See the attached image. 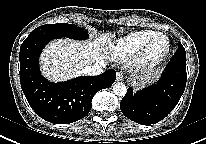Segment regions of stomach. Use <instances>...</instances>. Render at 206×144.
<instances>
[{
  "mask_svg": "<svg viewBox=\"0 0 206 144\" xmlns=\"http://www.w3.org/2000/svg\"><path fill=\"white\" fill-rule=\"evenodd\" d=\"M156 77H157V73L154 74L153 76L147 75L145 77H141L138 80L134 78L132 79V83L137 89H139L144 87L146 84L151 83Z\"/></svg>",
  "mask_w": 206,
  "mask_h": 144,
  "instance_id": "0dacf381",
  "label": "stomach"
}]
</instances>
